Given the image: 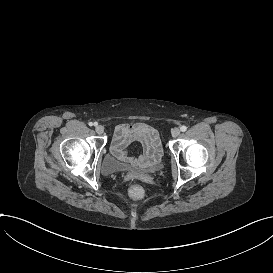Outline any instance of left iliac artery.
I'll list each match as a JSON object with an SVG mask.
<instances>
[{
  "label": "left iliac artery",
  "mask_w": 273,
  "mask_h": 273,
  "mask_svg": "<svg viewBox=\"0 0 273 273\" xmlns=\"http://www.w3.org/2000/svg\"><path fill=\"white\" fill-rule=\"evenodd\" d=\"M180 130H181L182 132H185V131L187 130V127H186L185 125H183V126L180 127Z\"/></svg>",
  "instance_id": "44dca946"
}]
</instances>
